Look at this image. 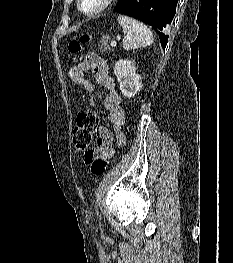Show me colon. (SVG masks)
Here are the masks:
<instances>
[{
  "label": "colon",
  "mask_w": 233,
  "mask_h": 263,
  "mask_svg": "<svg viewBox=\"0 0 233 263\" xmlns=\"http://www.w3.org/2000/svg\"><path fill=\"white\" fill-rule=\"evenodd\" d=\"M89 40V35H83L79 40H73L69 44V51L77 60V55L81 51L82 43ZM99 129V118L95 111L91 109H82L76 119V126L73 131L72 143L75 151L83 152L85 162L90 164L91 172L95 176H101L105 173L109 159H94L91 153L90 145L93 137Z\"/></svg>",
  "instance_id": "colon-1"
}]
</instances>
